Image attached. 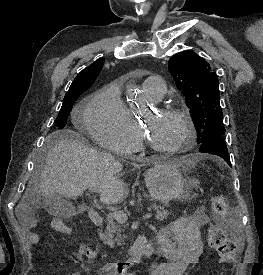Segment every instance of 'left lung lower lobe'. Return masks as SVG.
<instances>
[{"instance_id": "obj_1", "label": "left lung lower lobe", "mask_w": 263, "mask_h": 275, "mask_svg": "<svg viewBox=\"0 0 263 275\" xmlns=\"http://www.w3.org/2000/svg\"><path fill=\"white\" fill-rule=\"evenodd\" d=\"M199 151L202 153L217 155L223 158L231 166L228 149L222 136H216L211 140L203 142Z\"/></svg>"}]
</instances>
